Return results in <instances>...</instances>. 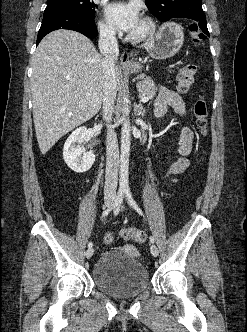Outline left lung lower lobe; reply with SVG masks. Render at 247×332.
I'll use <instances>...</instances> for the list:
<instances>
[{
	"instance_id": "obj_1",
	"label": "left lung lower lobe",
	"mask_w": 247,
	"mask_h": 332,
	"mask_svg": "<svg viewBox=\"0 0 247 332\" xmlns=\"http://www.w3.org/2000/svg\"><path fill=\"white\" fill-rule=\"evenodd\" d=\"M192 23H194L193 25L196 26L199 30H201L203 32L202 34V38L205 39L207 36L209 37V31L207 28V24H206V18H188ZM205 37V38H204Z\"/></svg>"
}]
</instances>
